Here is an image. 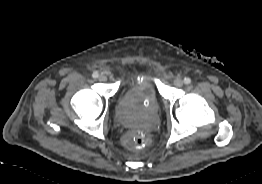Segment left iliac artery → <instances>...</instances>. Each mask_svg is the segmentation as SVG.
I'll list each match as a JSON object with an SVG mask.
<instances>
[{"mask_svg":"<svg viewBox=\"0 0 262 184\" xmlns=\"http://www.w3.org/2000/svg\"><path fill=\"white\" fill-rule=\"evenodd\" d=\"M184 83L185 84H190L191 83V79L188 78V77L184 78Z\"/></svg>","mask_w":262,"mask_h":184,"instance_id":"1","label":"left iliac artery"}]
</instances>
